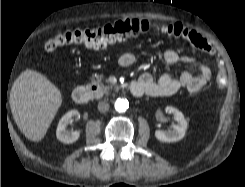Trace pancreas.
I'll return each mask as SVG.
<instances>
[{
  "label": "pancreas",
  "mask_w": 245,
  "mask_h": 187,
  "mask_svg": "<svg viewBox=\"0 0 245 187\" xmlns=\"http://www.w3.org/2000/svg\"><path fill=\"white\" fill-rule=\"evenodd\" d=\"M92 83L98 86L99 90L104 94H108L109 90H115V91L119 90L118 86L114 84H110L107 80H106L107 85H104V83L101 81L99 77H96V79H93Z\"/></svg>",
  "instance_id": "cf45deb5"
}]
</instances>
